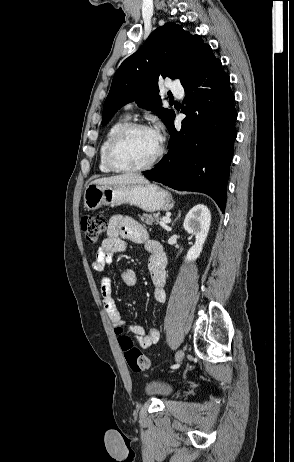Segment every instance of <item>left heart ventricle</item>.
<instances>
[{
  "label": "left heart ventricle",
  "instance_id": "b2bd125f",
  "mask_svg": "<svg viewBox=\"0 0 294 462\" xmlns=\"http://www.w3.org/2000/svg\"><path fill=\"white\" fill-rule=\"evenodd\" d=\"M159 144L153 131L134 130L127 134L117 146L115 159L123 166H142L154 157Z\"/></svg>",
  "mask_w": 294,
  "mask_h": 462
}]
</instances>
